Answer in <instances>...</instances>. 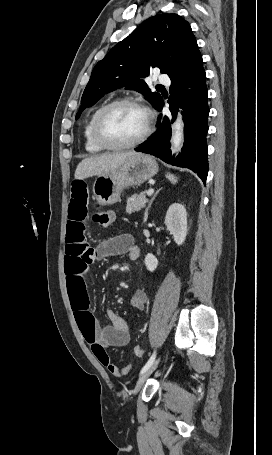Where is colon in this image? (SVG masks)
I'll use <instances>...</instances> for the list:
<instances>
[{
    "label": "colon",
    "instance_id": "obj_1",
    "mask_svg": "<svg viewBox=\"0 0 272 455\" xmlns=\"http://www.w3.org/2000/svg\"><path fill=\"white\" fill-rule=\"evenodd\" d=\"M92 218L101 230L106 231L113 222V213L108 210L97 208L95 209ZM134 353L137 357H143L144 350L141 346H135Z\"/></svg>",
    "mask_w": 272,
    "mask_h": 455
}]
</instances>
